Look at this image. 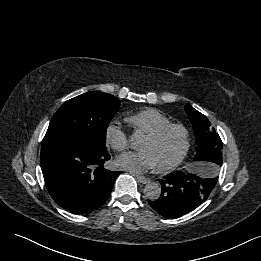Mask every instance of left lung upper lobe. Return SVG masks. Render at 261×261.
Listing matches in <instances>:
<instances>
[{"label":"left lung upper lobe","instance_id":"obj_1","mask_svg":"<svg viewBox=\"0 0 261 261\" xmlns=\"http://www.w3.org/2000/svg\"><path fill=\"white\" fill-rule=\"evenodd\" d=\"M185 111L196 135L194 160L219 169V166L222 165V141L219 135L210 128V122L206 116L191 105H186Z\"/></svg>","mask_w":261,"mask_h":261}]
</instances>
